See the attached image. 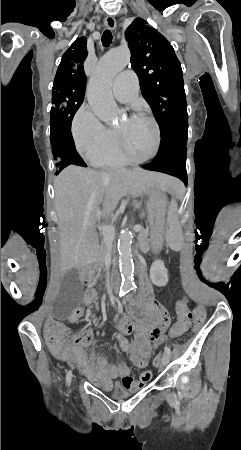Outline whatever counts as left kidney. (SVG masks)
Here are the masks:
<instances>
[{
	"label": "left kidney",
	"instance_id": "5707ae66",
	"mask_svg": "<svg viewBox=\"0 0 241 450\" xmlns=\"http://www.w3.org/2000/svg\"><path fill=\"white\" fill-rule=\"evenodd\" d=\"M150 280L155 286H166L168 282V272L161 260H155L150 268Z\"/></svg>",
	"mask_w": 241,
	"mask_h": 450
}]
</instances>
